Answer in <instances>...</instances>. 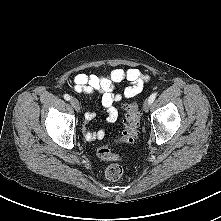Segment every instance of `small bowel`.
<instances>
[{
	"mask_svg": "<svg viewBox=\"0 0 221 221\" xmlns=\"http://www.w3.org/2000/svg\"><path fill=\"white\" fill-rule=\"evenodd\" d=\"M149 79L148 74L142 73L137 68H129L127 70L116 68L108 76L79 73L73 78V90L90 96H100L101 106L106 112V122L114 123L118 118L116 104L139 94ZM122 82H128L129 84L122 92H114L115 86ZM95 116L96 113L94 111L86 112V122L91 121ZM83 130L88 141L101 140L105 137L104 130L91 131L86 126Z\"/></svg>",
	"mask_w": 221,
	"mask_h": 221,
	"instance_id": "c3829d8e",
	"label": "small bowel"
}]
</instances>
